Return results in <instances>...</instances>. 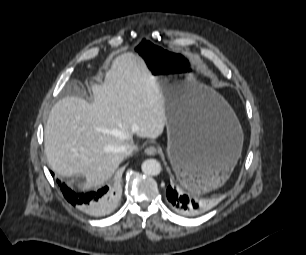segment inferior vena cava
Here are the masks:
<instances>
[{
	"mask_svg": "<svg viewBox=\"0 0 306 255\" xmlns=\"http://www.w3.org/2000/svg\"><path fill=\"white\" fill-rule=\"evenodd\" d=\"M135 150H137V146L133 143H126L120 148V151L124 154V156L131 155Z\"/></svg>",
	"mask_w": 306,
	"mask_h": 255,
	"instance_id": "1",
	"label": "inferior vena cava"
}]
</instances>
